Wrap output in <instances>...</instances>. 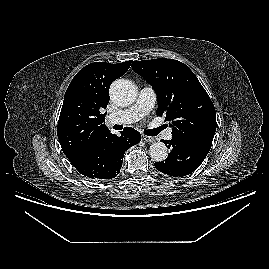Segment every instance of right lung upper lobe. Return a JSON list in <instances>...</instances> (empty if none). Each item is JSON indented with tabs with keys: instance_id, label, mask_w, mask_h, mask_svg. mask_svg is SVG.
I'll return each instance as SVG.
<instances>
[{
	"instance_id": "1",
	"label": "right lung upper lobe",
	"mask_w": 269,
	"mask_h": 269,
	"mask_svg": "<svg viewBox=\"0 0 269 269\" xmlns=\"http://www.w3.org/2000/svg\"><path fill=\"white\" fill-rule=\"evenodd\" d=\"M132 61L119 64L94 62L82 68L68 86L60 112L57 135L69 160L86 153L111 133L103 109L109 102V87L124 75Z\"/></svg>"
}]
</instances>
